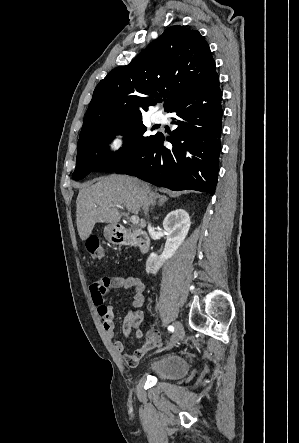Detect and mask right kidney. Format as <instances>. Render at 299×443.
Listing matches in <instances>:
<instances>
[{"label":"right kidney","mask_w":299,"mask_h":443,"mask_svg":"<svg viewBox=\"0 0 299 443\" xmlns=\"http://www.w3.org/2000/svg\"><path fill=\"white\" fill-rule=\"evenodd\" d=\"M191 222L189 214L183 209L170 212L163 221L167 241L161 256L151 253L146 262V272L156 273L166 260L171 258L188 234Z\"/></svg>","instance_id":"ca27d5eb"}]
</instances>
